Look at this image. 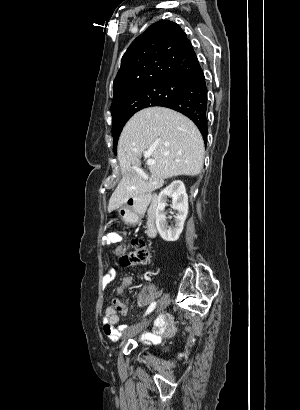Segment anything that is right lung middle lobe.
<instances>
[{
	"label": "right lung middle lobe",
	"instance_id": "obj_1",
	"mask_svg": "<svg viewBox=\"0 0 300 410\" xmlns=\"http://www.w3.org/2000/svg\"><path fill=\"white\" fill-rule=\"evenodd\" d=\"M184 86L181 83L159 84L140 88L130 93L122 102L119 113L112 116L113 150L116 152L119 135L130 117L137 111L150 106H161L171 100Z\"/></svg>",
	"mask_w": 300,
	"mask_h": 410
}]
</instances>
